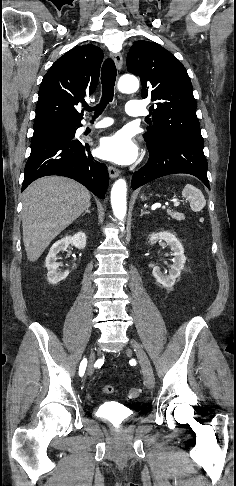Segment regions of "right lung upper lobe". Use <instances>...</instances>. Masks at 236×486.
Returning <instances> with one entry per match:
<instances>
[{"instance_id":"right-lung-upper-lobe-1","label":"right lung upper lobe","mask_w":236,"mask_h":486,"mask_svg":"<svg viewBox=\"0 0 236 486\" xmlns=\"http://www.w3.org/2000/svg\"><path fill=\"white\" fill-rule=\"evenodd\" d=\"M102 59V50L94 45L75 47L60 57L43 77L34 126L81 122L78 106L95 91Z\"/></svg>"}]
</instances>
